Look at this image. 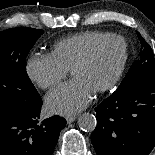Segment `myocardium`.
Segmentation results:
<instances>
[{
	"label": "myocardium",
	"instance_id": "f54148a6",
	"mask_svg": "<svg viewBox=\"0 0 155 155\" xmlns=\"http://www.w3.org/2000/svg\"><path fill=\"white\" fill-rule=\"evenodd\" d=\"M110 40H118L122 42L123 59L115 76L107 84L99 88L95 92L96 94H101L111 90L120 82L121 78L123 77V74L125 72V69L129 60V45L125 37L116 33H109L106 36L100 38L86 51V53L70 69V73L72 74L74 71L87 65L92 60V58L94 57L95 53L100 48V46Z\"/></svg>",
	"mask_w": 155,
	"mask_h": 155
}]
</instances>
